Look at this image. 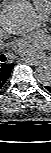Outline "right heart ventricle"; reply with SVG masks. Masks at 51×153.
I'll list each match as a JSON object with an SVG mask.
<instances>
[{"label":"right heart ventricle","instance_id":"1","mask_svg":"<svg viewBox=\"0 0 51 153\" xmlns=\"http://www.w3.org/2000/svg\"><path fill=\"white\" fill-rule=\"evenodd\" d=\"M38 15L42 18L51 13V0H33Z\"/></svg>","mask_w":51,"mask_h":153}]
</instances>
